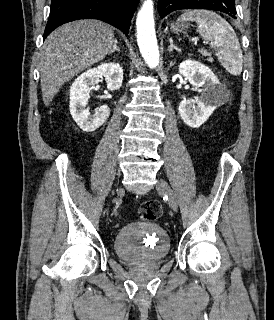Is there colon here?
Masks as SVG:
<instances>
[{"label":"colon","mask_w":274,"mask_h":320,"mask_svg":"<svg viewBox=\"0 0 274 320\" xmlns=\"http://www.w3.org/2000/svg\"><path fill=\"white\" fill-rule=\"evenodd\" d=\"M161 213L162 209L160 204L152 199L145 201L138 212L139 217L145 222L157 219Z\"/></svg>","instance_id":"1"}]
</instances>
